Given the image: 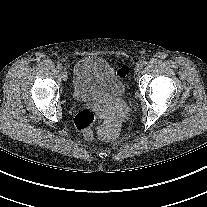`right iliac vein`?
<instances>
[{
  "instance_id": "63e3f726",
  "label": "right iliac vein",
  "mask_w": 207,
  "mask_h": 207,
  "mask_svg": "<svg viewBox=\"0 0 207 207\" xmlns=\"http://www.w3.org/2000/svg\"><path fill=\"white\" fill-rule=\"evenodd\" d=\"M61 76H62V79H63L64 81H66V80L68 79V72H67L66 70H63V71L61 72Z\"/></svg>"
}]
</instances>
